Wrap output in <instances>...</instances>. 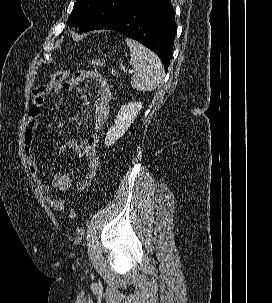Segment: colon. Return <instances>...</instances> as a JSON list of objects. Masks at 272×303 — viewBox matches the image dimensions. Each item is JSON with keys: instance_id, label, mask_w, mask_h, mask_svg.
<instances>
[{"instance_id": "colon-1", "label": "colon", "mask_w": 272, "mask_h": 303, "mask_svg": "<svg viewBox=\"0 0 272 303\" xmlns=\"http://www.w3.org/2000/svg\"><path fill=\"white\" fill-rule=\"evenodd\" d=\"M91 64L95 67H103L104 66V61L101 58H93L91 60ZM110 73L113 77H118L119 76V71L115 68H112L110 70ZM69 72L67 70H62L59 72H56L52 75L51 77V81L48 85L49 87V92L52 94H59L61 89H62V85L64 80L67 78ZM69 217L71 220H74L76 218V211L75 209L71 208L69 210Z\"/></svg>"}]
</instances>
